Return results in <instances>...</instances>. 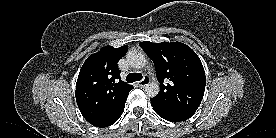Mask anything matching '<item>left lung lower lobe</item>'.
Wrapping results in <instances>:
<instances>
[{
	"instance_id": "1",
	"label": "left lung lower lobe",
	"mask_w": 276,
	"mask_h": 138,
	"mask_svg": "<svg viewBox=\"0 0 276 138\" xmlns=\"http://www.w3.org/2000/svg\"><path fill=\"white\" fill-rule=\"evenodd\" d=\"M153 109L160 117H162L163 119H165L167 121H171V122H180V121H184V120H187L188 118H190V117H185V116L173 115L169 112L161 111L154 106H153Z\"/></svg>"
}]
</instances>
